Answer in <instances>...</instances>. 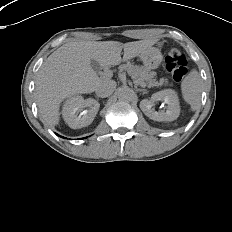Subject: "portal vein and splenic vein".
<instances>
[{"label": "portal vein and splenic vein", "mask_w": 232, "mask_h": 232, "mask_svg": "<svg viewBox=\"0 0 232 232\" xmlns=\"http://www.w3.org/2000/svg\"><path fill=\"white\" fill-rule=\"evenodd\" d=\"M105 74V73H104ZM141 86H146V84L145 83H141Z\"/></svg>", "instance_id": "1"}]
</instances>
